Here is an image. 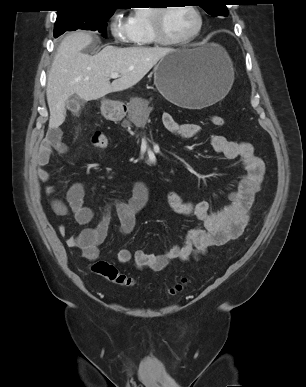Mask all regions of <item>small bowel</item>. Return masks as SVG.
<instances>
[{
	"label": "small bowel",
	"mask_w": 306,
	"mask_h": 387,
	"mask_svg": "<svg viewBox=\"0 0 306 387\" xmlns=\"http://www.w3.org/2000/svg\"><path fill=\"white\" fill-rule=\"evenodd\" d=\"M164 127L171 133L183 139L196 136L201 127L195 123H178L170 113L162 115ZM59 128L51 129L42 141L36 157V173L41 182H47L50 174L47 165L53 151L60 154L67 152V146L62 141ZM213 150L229 160H240L244 174L238 187L229 195L230 202L224 207L211 211L207 201L185 202L176 192H170L167 200L169 207L177 214L193 216L196 226L191 228L181 243L174 245L161 254L148 253L142 249L132 252L121 249L117 254L120 264L131 261L139 269L161 271L173 260L187 261L191 257L205 253L209 248L221 246L242 235L249 221L250 210L256 195L260 192L264 180L265 165L258 157L251 143L228 140L222 135L214 134L210 138ZM50 205L55 214L65 216L70 211L80 225H89L94 218L92 208L84 205L85 191L81 183L76 182L67 192V204L55 196L53 186L46 187ZM148 200V188L144 183L134 185L129 199L116 198L112 205L116 209L118 230L121 234H130L136 222L137 214L144 208ZM109 206L102 210L95 226L85 227L77 235H68L64 224L59 225L60 235L67 237L70 248L80 249L89 261L100 257V246L105 241L109 227Z\"/></svg>",
	"instance_id": "obj_1"
}]
</instances>
